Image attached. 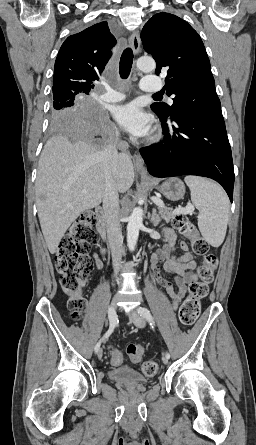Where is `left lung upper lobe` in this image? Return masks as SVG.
I'll use <instances>...</instances> for the list:
<instances>
[{
	"label": "left lung upper lobe",
	"mask_w": 256,
	"mask_h": 445,
	"mask_svg": "<svg viewBox=\"0 0 256 445\" xmlns=\"http://www.w3.org/2000/svg\"><path fill=\"white\" fill-rule=\"evenodd\" d=\"M144 49L156 61V74L166 71V94L173 104L153 103L151 109L167 119L182 107L221 111L215 81L203 42L198 33L181 18L158 13L141 32Z\"/></svg>",
	"instance_id": "obj_1"
}]
</instances>
